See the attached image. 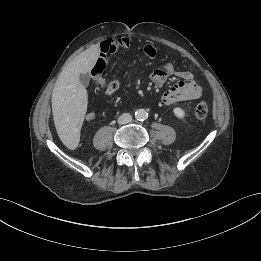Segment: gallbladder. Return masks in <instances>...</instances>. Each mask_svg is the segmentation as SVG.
<instances>
[{
  "label": "gallbladder",
  "mask_w": 261,
  "mask_h": 261,
  "mask_svg": "<svg viewBox=\"0 0 261 261\" xmlns=\"http://www.w3.org/2000/svg\"><path fill=\"white\" fill-rule=\"evenodd\" d=\"M79 80H80V83L83 86H87L89 81H90V76L87 73L86 74H80Z\"/></svg>",
  "instance_id": "obj_1"
}]
</instances>
